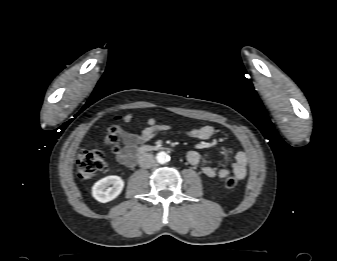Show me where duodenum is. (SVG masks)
Listing matches in <instances>:
<instances>
[{"label": "duodenum", "instance_id": "410a0bca", "mask_svg": "<svg viewBox=\"0 0 337 261\" xmlns=\"http://www.w3.org/2000/svg\"><path fill=\"white\" fill-rule=\"evenodd\" d=\"M158 147L155 146H150V145H144L142 147L139 148V150L136 153V157H141L144 154H146L147 152H150L152 150L157 149Z\"/></svg>", "mask_w": 337, "mask_h": 261}]
</instances>
